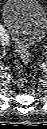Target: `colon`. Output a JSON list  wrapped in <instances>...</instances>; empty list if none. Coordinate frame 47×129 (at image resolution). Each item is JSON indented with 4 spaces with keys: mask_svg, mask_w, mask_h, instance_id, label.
<instances>
[{
    "mask_svg": "<svg viewBox=\"0 0 47 129\" xmlns=\"http://www.w3.org/2000/svg\"><path fill=\"white\" fill-rule=\"evenodd\" d=\"M19 52H20V56H21L23 62H24V63H28V61H29V53H28V51H26V50L23 49V48H20V49H19ZM26 83H27V79L24 78V77H21V78H19V79L17 80V86H18L19 88H23V87L26 85Z\"/></svg>",
    "mask_w": 47,
    "mask_h": 129,
    "instance_id": "obj_1",
    "label": "colon"
}]
</instances>
